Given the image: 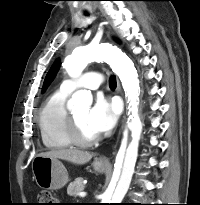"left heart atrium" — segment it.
Wrapping results in <instances>:
<instances>
[{"label": "left heart atrium", "instance_id": "1", "mask_svg": "<svg viewBox=\"0 0 200 205\" xmlns=\"http://www.w3.org/2000/svg\"><path fill=\"white\" fill-rule=\"evenodd\" d=\"M119 107L108 99L99 96L88 113V124L97 133L110 131L117 122Z\"/></svg>", "mask_w": 200, "mask_h": 205}]
</instances>
